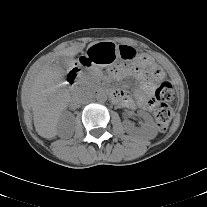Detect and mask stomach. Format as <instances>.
I'll list each match as a JSON object with an SVG mask.
<instances>
[{
  "label": "stomach",
  "instance_id": "obj_1",
  "mask_svg": "<svg viewBox=\"0 0 207 207\" xmlns=\"http://www.w3.org/2000/svg\"><path fill=\"white\" fill-rule=\"evenodd\" d=\"M136 52L133 48L126 45H118L111 41H100L87 48L85 57L95 67L106 68L113 72L119 67L122 59L134 58Z\"/></svg>",
  "mask_w": 207,
  "mask_h": 207
}]
</instances>
